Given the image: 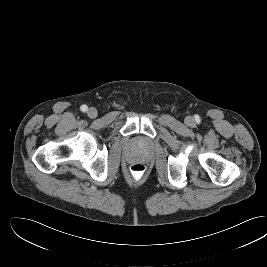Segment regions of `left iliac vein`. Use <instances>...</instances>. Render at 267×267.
Listing matches in <instances>:
<instances>
[{
    "label": "left iliac vein",
    "instance_id": "4c4485c4",
    "mask_svg": "<svg viewBox=\"0 0 267 267\" xmlns=\"http://www.w3.org/2000/svg\"><path fill=\"white\" fill-rule=\"evenodd\" d=\"M186 124L187 125H193L194 124V119L192 117H187L186 120H185Z\"/></svg>",
    "mask_w": 267,
    "mask_h": 267
}]
</instances>
